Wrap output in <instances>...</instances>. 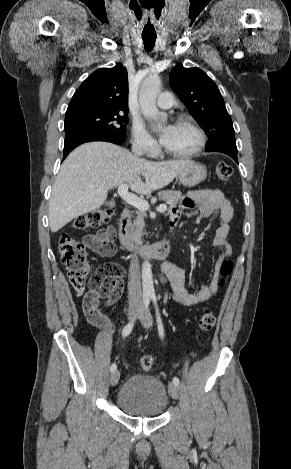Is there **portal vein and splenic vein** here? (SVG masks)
<instances>
[{
  "label": "portal vein and splenic vein",
  "instance_id": "portal-vein-and-splenic-vein-1",
  "mask_svg": "<svg viewBox=\"0 0 291 469\" xmlns=\"http://www.w3.org/2000/svg\"><path fill=\"white\" fill-rule=\"evenodd\" d=\"M129 186L127 184H122L118 188L119 196L129 205L137 208L140 211H146L149 209V203L135 194H132L128 191ZM167 209L166 204H161L157 207V210L160 212H165Z\"/></svg>",
  "mask_w": 291,
  "mask_h": 469
}]
</instances>
